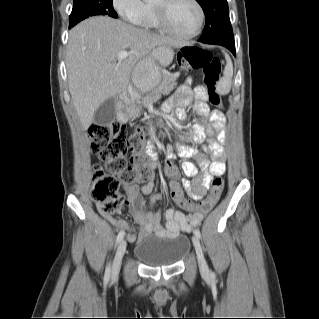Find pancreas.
<instances>
[{"instance_id":"obj_1","label":"pancreas","mask_w":319,"mask_h":319,"mask_svg":"<svg viewBox=\"0 0 319 319\" xmlns=\"http://www.w3.org/2000/svg\"><path fill=\"white\" fill-rule=\"evenodd\" d=\"M179 73H165L161 77L160 83L149 93H141L135 102L127 106V113L131 119H136L140 116L143 108L149 103L160 99L161 95H168L177 86Z\"/></svg>"}]
</instances>
